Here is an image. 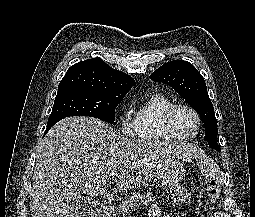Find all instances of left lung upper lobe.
<instances>
[{"label":"left lung upper lobe","mask_w":255,"mask_h":217,"mask_svg":"<svg viewBox=\"0 0 255 217\" xmlns=\"http://www.w3.org/2000/svg\"><path fill=\"white\" fill-rule=\"evenodd\" d=\"M150 78L171 86L200 115L206 126L205 141L221 151L217 143V121L202 75L188 61L174 60L155 70Z\"/></svg>","instance_id":"obj_1"}]
</instances>
